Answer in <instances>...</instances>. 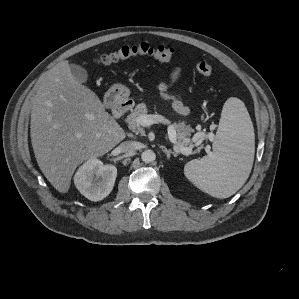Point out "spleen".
I'll return each instance as SVG.
<instances>
[{"mask_svg": "<svg viewBox=\"0 0 299 299\" xmlns=\"http://www.w3.org/2000/svg\"><path fill=\"white\" fill-rule=\"evenodd\" d=\"M254 153L255 135L249 113L240 99L231 97L222 109L213 152L189 161L184 174L207 194L228 198L248 179Z\"/></svg>", "mask_w": 299, "mask_h": 299, "instance_id": "3e777b00", "label": "spleen"}]
</instances>
